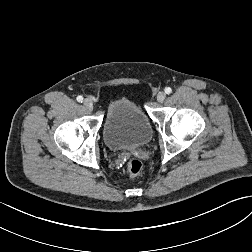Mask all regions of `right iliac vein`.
Masks as SVG:
<instances>
[{
  "mask_svg": "<svg viewBox=\"0 0 252 252\" xmlns=\"http://www.w3.org/2000/svg\"><path fill=\"white\" fill-rule=\"evenodd\" d=\"M84 106L88 109V110H92L93 109V102L91 99H85L83 102Z\"/></svg>",
  "mask_w": 252,
  "mask_h": 252,
  "instance_id": "obj_1",
  "label": "right iliac vein"
}]
</instances>
